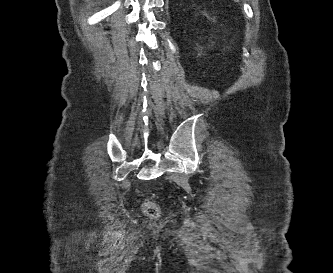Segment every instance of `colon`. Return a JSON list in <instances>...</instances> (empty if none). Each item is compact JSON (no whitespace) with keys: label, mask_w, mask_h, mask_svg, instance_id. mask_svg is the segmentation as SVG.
<instances>
[{"label":"colon","mask_w":333,"mask_h":273,"mask_svg":"<svg viewBox=\"0 0 333 273\" xmlns=\"http://www.w3.org/2000/svg\"><path fill=\"white\" fill-rule=\"evenodd\" d=\"M146 212L150 216H156L158 214V208L155 204L153 203H148L146 205Z\"/></svg>","instance_id":"obj_1"}]
</instances>
